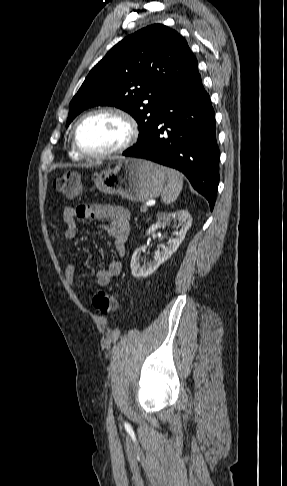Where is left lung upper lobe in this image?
Segmentation results:
<instances>
[{"mask_svg": "<svg viewBox=\"0 0 287 486\" xmlns=\"http://www.w3.org/2000/svg\"><path fill=\"white\" fill-rule=\"evenodd\" d=\"M197 68L186 40L162 24L117 43L90 71L70 102L67 126L86 108L110 105L137 121V144L159 118L170 91Z\"/></svg>", "mask_w": 287, "mask_h": 486, "instance_id": "obj_1", "label": "left lung upper lobe"}]
</instances>
